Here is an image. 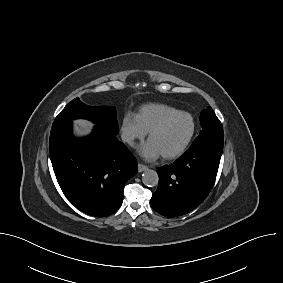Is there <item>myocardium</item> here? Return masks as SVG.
Instances as JSON below:
<instances>
[{"mask_svg": "<svg viewBox=\"0 0 283 283\" xmlns=\"http://www.w3.org/2000/svg\"><path fill=\"white\" fill-rule=\"evenodd\" d=\"M181 115L189 117V119L191 121V131H190L187 139L185 140V142L177 150H175L171 153L162 155V157L164 159L171 160V159L178 158L187 150V148L191 144L193 137L195 135V132H196V121H195L194 117L189 112L178 110V111H175V112H172V113L165 115L148 132V138L150 139V137L154 133L161 130L172 118H174L176 116H181Z\"/></svg>", "mask_w": 283, "mask_h": 283, "instance_id": "obj_1", "label": "myocardium"}]
</instances>
